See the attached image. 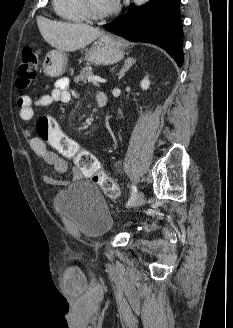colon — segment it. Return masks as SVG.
I'll return each instance as SVG.
<instances>
[{"label": "colon", "instance_id": "obj_1", "mask_svg": "<svg viewBox=\"0 0 233 328\" xmlns=\"http://www.w3.org/2000/svg\"><path fill=\"white\" fill-rule=\"evenodd\" d=\"M37 64V54L33 48L24 47L16 77V87L19 91H23L31 85L37 74ZM36 128L37 134L42 141L49 144L62 156L72 159L81 173L97 183L105 195L110 198L119 197L120 189L118 185L102 169L98 159L68 137L51 117H40Z\"/></svg>", "mask_w": 233, "mask_h": 328}]
</instances>
